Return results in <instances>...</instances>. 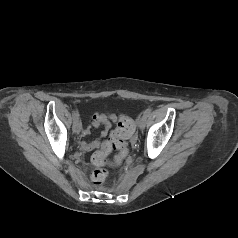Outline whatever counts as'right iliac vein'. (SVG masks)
Listing matches in <instances>:
<instances>
[{
  "label": "right iliac vein",
  "instance_id": "right-iliac-vein-1",
  "mask_svg": "<svg viewBox=\"0 0 238 238\" xmlns=\"http://www.w3.org/2000/svg\"><path fill=\"white\" fill-rule=\"evenodd\" d=\"M82 129V123L79 119H74L73 120V131L76 134H79Z\"/></svg>",
  "mask_w": 238,
  "mask_h": 238
}]
</instances>
